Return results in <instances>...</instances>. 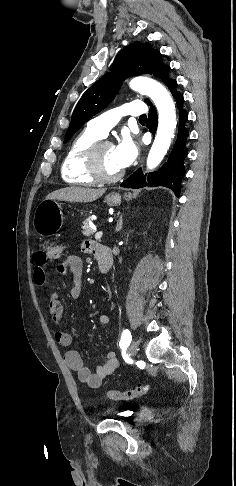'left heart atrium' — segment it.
<instances>
[{
  "label": "left heart atrium",
  "mask_w": 236,
  "mask_h": 486,
  "mask_svg": "<svg viewBox=\"0 0 236 486\" xmlns=\"http://www.w3.org/2000/svg\"><path fill=\"white\" fill-rule=\"evenodd\" d=\"M117 163L121 169L131 165L138 155V148L132 139L125 135L114 147Z\"/></svg>",
  "instance_id": "39dd6f15"
}]
</instances>
